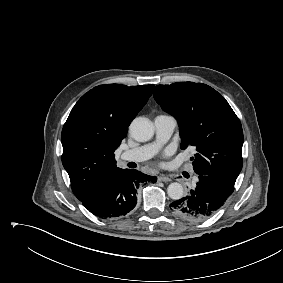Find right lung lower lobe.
I'll use <instances>...</instances> for the list:
<instances>
[{
	"mask_svg": "<svg viewBox=\"0 0 283 283\" xmlns=\"http://www.w3.org/2000/svg\"><path fill=\"white\" fill-rule=\"evenodd\" d=\"M146 181L155 183L157 178L137 170L123 169L104 186L80 201L98 217L125 216L137 203V188Z\"/></svg>",
	"mask_w": 283,
	"mask_h": 283,
	"instance_id": "1",
	"label": "right lung lower lobe"
}]
</instances>
